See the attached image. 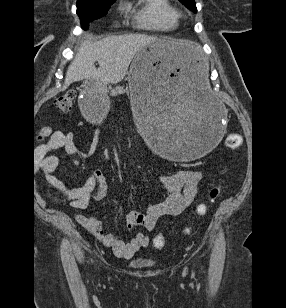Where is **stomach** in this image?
Masks as SVG:
<instances>
[{"instance_id": "obj_1", "label": "stomach", "mask_w": 286, "mask_h": 308, "mask_svg": "<svg viewBox=\"0 0 286 308\" xmlns=\"http://www.w3.org/2000/svg\"><path fill=\"white\" fill-rule=\"evenodd\" d=\"M202 49V44L169 36L144 44L131 63L128 84L135 125H144V143L150 144L155 159L192 164L215 144H225L224 101L207 86L209 57ZM106 92L109 85L87 79L79 97L81 110L96 118L107 116Z\"/></svg>"}]
</instances>
